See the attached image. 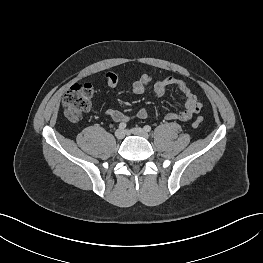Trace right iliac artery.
<instances>
[{"mask_svg":"<svg viewBox=\"0 0 263 263\" xmlns=\"http://www.w3.org/2000/svg\"><path fill=\"white\" fill-rule=\"evenodd\" d=\"M126 123H120L119 124V129H122V130H124L125 128H126Z\"/></svg>","mask_w":263,"mask_h":263,"instance_id":"obj_1","label":"right iliac artery"}]
</instances>
